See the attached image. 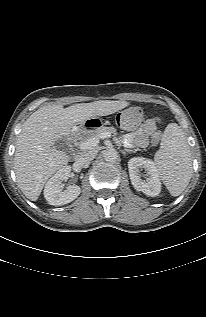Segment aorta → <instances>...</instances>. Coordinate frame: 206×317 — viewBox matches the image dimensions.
Returning <instances> with one entry per match:
<instances>
[{"label":"aorta","instance_id":"aorta-1","mask_svg":"<svg viewBox=\"0 0 206 317\" xmlns=\"http://www.w3.org/2000/svg\"><path fill=\"white\" fill-rule=\"evenodd\" d=\"M104 158L107 162L114 163L119 159V153L117 152L116 149L111 148L105 151Z\"/></svg>","mask_w":206,"mask_h":317}]
</instances>
